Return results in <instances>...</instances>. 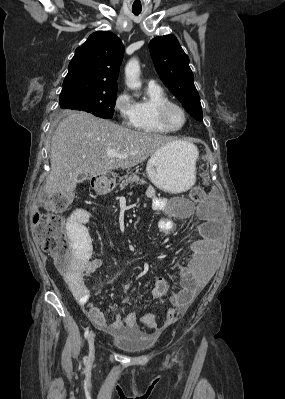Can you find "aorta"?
I'll list each match as a JSON object with an SVG mask.
<instances>
[{
  "label": "aorta",
  "mask_w": 285,
  "mask_h": 399,
  "mask_svg": "<svg viewBox=\"0 0 285 399\" xmlns=\"http://www.w3.org/2000/svg\"><path fill=\"white\" fill-rule=\"evenodd\" d=\"M126 85L131 90H137L141 87L140 65L136 58L131 59L125 67Z\"/></svg>",
  "instance_id": "aorta-1"
}]
</instances>
